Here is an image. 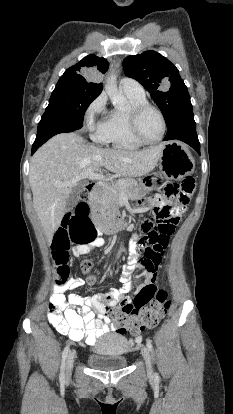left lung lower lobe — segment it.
<instances>
[{
	"mask_svg": "<svg viewBox=\"0 0 233 414\" xmlns=\"http://www.w3.org/2000/svg\"><path fill=\"white\" fill-rule=\"evenodd\" d=\"M167 127L168 131L163 139L164 141H183L200 154V143L196 133V123L194 121L192 105L180 110Z\"/></svg>",
	"mask_w": 233,
	"mask_h": 414,
	"instance_id": "0a47b994",
	"label": "left lung lower lobe"
}]
</instances>
